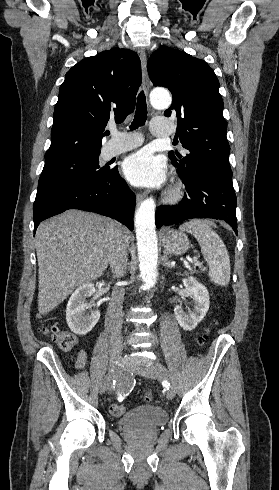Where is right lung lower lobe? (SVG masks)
<instances>
[{
    "instance_id": "1",
    "label": "right lung lower lobe",
    "mask_w": 279,
    "mask_h": 490,
    "mask_svg": "<svg viewBox=\"0 0 279 490\" xmlns=\"http://www.w3.org/2000/svg\"><path fill=\"white\" fill-rule=\"evenodd\" d=\"M135 195L115 167L101 179L38 188L33 206L34 233L39 223L68 209L96 212L133 230Z\"/></svg>"
}]
</instances>
